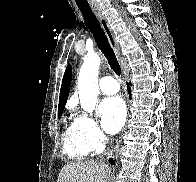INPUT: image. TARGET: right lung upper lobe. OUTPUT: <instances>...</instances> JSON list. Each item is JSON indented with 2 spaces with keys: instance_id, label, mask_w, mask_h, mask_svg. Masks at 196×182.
I'll use <instances>...</instances> for the list:
<instances>
[{
  "instance_id": "obj_1",
  "label": "right lung upper lobe",
  "mask_w": 196,
  "mask_h": 182,
  "mask_svg": "<svg viewBox=\"0 0 196 182\" xmlns=\"http://www.w3.org/2000/svg\"><path fill=\"white\" fill-rule=\"evenodd\" d=\"M71 71H72L71 67L70 65H68L64 73L63 80H62L58 113H62L66 105V101H67L69 90H70Z\"/></svg>"
}]
</instances>
